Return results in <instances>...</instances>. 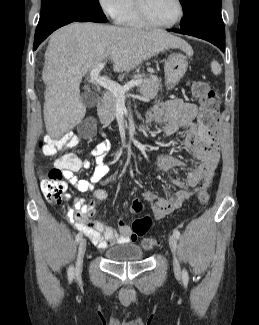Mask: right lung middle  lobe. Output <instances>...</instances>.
I'll return each instance as SVG.
<instances>
[{"label":"right lung middle lobe","instance_id":"obj_1","mask_svg":"<svg viewBox=\"0 0 259 325\" xmlns=\"http://www.w3.org/2000/svg\"><path fill=\"white\" fill-rule=\"evenodd\" d=\"M70 18L76 21L107 22L99 0H42L41 16L36 33L54 21Z\"/></svg>","mask_w":259,"mask_h":325}]
</instances>
